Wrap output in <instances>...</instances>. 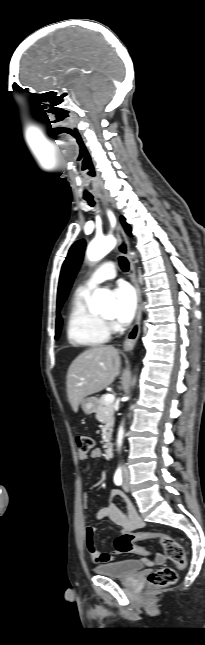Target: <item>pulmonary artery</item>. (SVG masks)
Returning <instances> with one entry per match:
<instances>
[{
    "mask_svg": "<svg viewBox=\"0 0 205 645\" xmlns=\"http://www.w3.org/2000/svg\"><path fill=\"white\" fill-rule=\"evenodd\" d=\"M116 277V267L113 262H105L99 266L91 276L78 288L91 291L98 284Z\"/></svg>",
    "mask_w": 205,
    "mask_h": 645,
    "instance_id": "pulmonary-artery-1",
    "label": "pulmonary artery"
}]
</instances>
